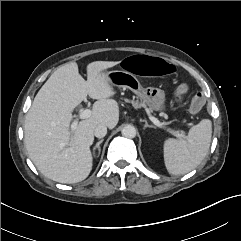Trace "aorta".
<instances>
[{
    "label": "aorta",
    "mask_w": 241,
    "mask_h": 241,
    "mask_svg": "<svg viewBox=\"0 0 241 241\" xmlns=\"http://www.w3.org/2000/svg\"><path fill=\"white\" fill-rule=\"evenodd\" d=\"M121 133L126 138H134L136 136V129L132 125H126L122 129Z\"/></svg>",
    "instance_id": "aorta-1"
}]
</instances>
